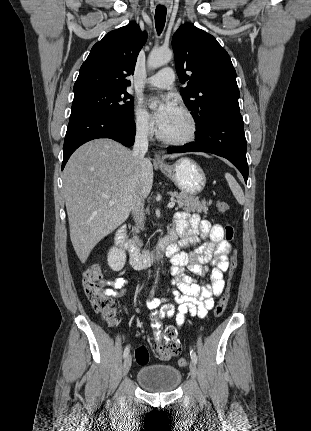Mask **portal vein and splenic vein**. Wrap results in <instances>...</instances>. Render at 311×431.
<instances>
[{"mask_svg":"<svg viewBox=\"0 0 311 431\" xmlns=\"http://www.w3.org/2000/svg\"><path fill=\"white\" fill-rule=\"evenodd\" d=\"M115 202H113V200H110L109 202V206H114ZM176 202H174V200H172V202H169V204H167V208H174Z\"/></svg>","mask_w":311,"mask_h":431,"instance_id":"1","label":"portal vein and splenic vein"}]
</instances>
